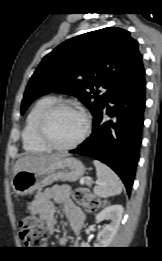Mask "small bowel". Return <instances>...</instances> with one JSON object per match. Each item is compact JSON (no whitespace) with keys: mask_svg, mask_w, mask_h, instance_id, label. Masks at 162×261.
I'll list each match as a JSON object with an SVG mask.
<instances>
[{"mask_svg":"<svg viewBox=\"0 0 162 261\" xmlns=\"http://www.w3.org/2000/svg\"><path fill=\"white\" fill-rule=\"evenodd\" d=\"M62 205L70 221L71 229L79 231L83 224L81 211L70 198V188L67 185H56L38 192L30 205L33 215L43 220L49 231L55 229V206Z\"/></svg>","mask_w":162,"mask_h":261,"instance_id":"small-bowel-1","label":"small bowel"}]
</instances>
